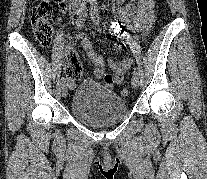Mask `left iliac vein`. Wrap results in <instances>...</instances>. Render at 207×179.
I'll use <instances>...</instances> for the list:
<instances>
[{"mask_svg": "<svg viewBox=\"0 0 207 179\" xmlns=\"http://www.w3.org/2000/svg\"><path fill=\"white\" fill-rule=\"evenodd\" d=\"M131 83H132V86L134 87V88H138L139 87V83H140V81H139V77H138V75H133V77H132V79H131Z\"/></svg>", "mask_w": 207, "mask_h": 179, "instance_id": "left-iliac-vein-1", "label": "left iliac vein"}]
</instances>
